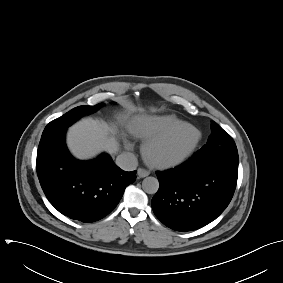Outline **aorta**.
<instances>
[{"instance_id":"1","label":"aorta","mask_w":283,"mask_h":283,"mask_svg":"<svg viewBox=\"0 0 283 283\" xmlns=\"http://www.w3.org/2000/svg\"><path fill=\"white\" fill-rule=\"evenodd\" d=\"M142 188L148 194H155L159 188V181L155 177H146L142 182Z\"/></svg>"}]
</instances>
